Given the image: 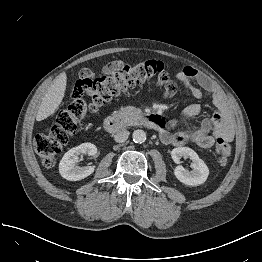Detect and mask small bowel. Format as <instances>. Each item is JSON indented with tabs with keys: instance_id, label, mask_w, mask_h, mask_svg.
Returning a JSON list of instances; mask_svg holds the SVG:
<instances>
[{
	"instance_id": "1",
	"label": "small bowel",
	"mask_w": 262,
	"mask_h": 262,
	"mask_svg": "<svg viewBox=\"0 0 262 262\" xmlns=\"http://www.w3.org/2000/svg\"><path fill=\"white\" fill-rule=\"evenodd\" d=\"M179 83L189 88L196 99H201L204 93H209L217 111L210 117L204 118L199 127L192 131L183 130L182 126L201 114V106L191 104L187 106L181 117L172 125V129L158 128L161 141L168 145L180 146L193 142L202 148H211L216 139L232 141L234 130L230 119L229 104L226 97L220 93L196 68L186 66L176 73ZM198 83L201 88L197 87ZM178 90L174 82L164 85L163 96L172 97ZM213 132L210 134V132Z\"/></svg>"
}]
</instances>
